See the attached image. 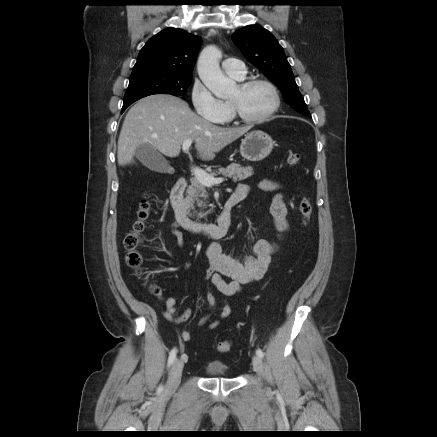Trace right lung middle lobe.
<instances>
[{"label": "right lung middle lobe", "instance_id": "right-lung-middle-lobe-1", "mask_svg": "<svg viewBox=\"0 0 437 437\" xmlns=\"http://www.w3.org/2000/svg\"><path fill=\"white\" fill-rule=\"evenodd\" d=\"M192 81V75L179 76L147 69L132 72L124 96L122 112L133 102L153 94L183 96Z\"/></svg>", "mask_w": 437, "mask_h": 437}]
</instances>
